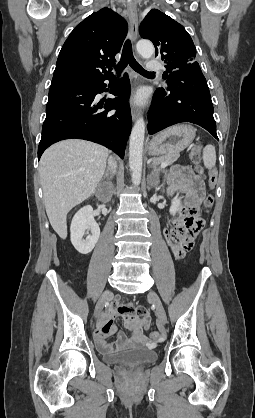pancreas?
Masks as SVG:
<instances>
[{
	"label": "pancreas",
	"instance_id": "pancreas-1",
	"mask_svg": "<svg viewBox=\"0 0 255 418\" xmlns=\"http://www.w3.org/2000/svg\"><path fill=\"white\" fill-rule=\"evenodd\" d=\"M179 153L176 154H170V155H163L157 158L153 159V164L154 165H159L163 162H168L169 164L175 162L178 158H179Z\"/></svg>",
	"mask_w": 255,
	"mask_h": 418
}]
</instances>
